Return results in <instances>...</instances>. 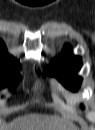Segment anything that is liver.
Instances as JSON below:
<instances>
[{"mask_svg": "<svg viewBox=\"0 0 95 130\" xmlns=\"http://www.w3.org/2000/svg\"><path fill=\"white\" fill-rule=\"evenodd\" d=\"M59 125L56 116L31 113L17 117L9 124L4 123L1 130H56Z\"/></svg>", "mask_w": 95, "mask_h": 130, "instance_id": "1", "label": "liver"}]
</instances>
